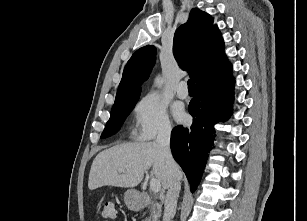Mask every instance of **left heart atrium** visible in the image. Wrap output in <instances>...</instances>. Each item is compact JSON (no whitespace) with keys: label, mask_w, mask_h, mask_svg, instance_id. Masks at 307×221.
Returning a JSON list of instances; mask_svg holds the SVG:
<instances>
[{"label":"left heart atrium","mask_w":307,"mask_h":221,"mask_svg":"<svg viewBox=\"0 0 307 221\" xmlns=\"http://www.w3.org/2000/svg\"><path fill=\"white\" fill-rule=\"evenodd\" d=\"M174 116L178 121H182L185 118L183 110L179 107L174 108Z\"/></svg>","instance_id":"left-heart-atrium-1"}]
</instances>
